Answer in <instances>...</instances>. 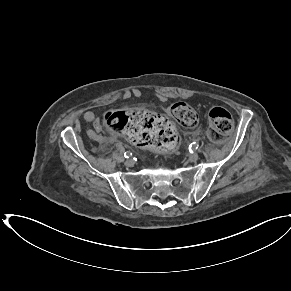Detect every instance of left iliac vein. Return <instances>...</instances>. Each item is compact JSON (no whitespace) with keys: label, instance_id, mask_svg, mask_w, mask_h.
Wrapping results in <instances>:
<instances>
[{"label":"left iliac vein","instance_id":"obj_1","mask_svg":"<svg viewBox=\"0 0 291 291\" xmlns=\"http://www.w3.org/2000/svg\"><path fill=\"white\" fill-rule=\"evenodd\" d=\"M198 158H199L198 153H192V154H190V155L188 156V160H189L190 162H195V161L198 160Z\"/></svg>","mask_w":291,"mask_h":291}]
</instances>
